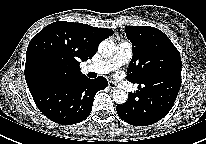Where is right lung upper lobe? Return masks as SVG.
Instances as JSON below:
<instances>
[{"mask_svg": "<svg viewBox=\"0 0 206 144\" xmlns=\"http://www.w3.org/2000/svg\"><path fill=\"white\" fill-rule=\"evenodd\" d=\"M113 33L108 28L66 21L47 25L27 48L25 79L30 92L85 77L79 68L80 61L91 59L99 43Z\"/></svg>", "mask_w": 206, "mask_h": 144, "instance_id": "obj_1", "label": "right lung upper lobe"}]
</instances>
